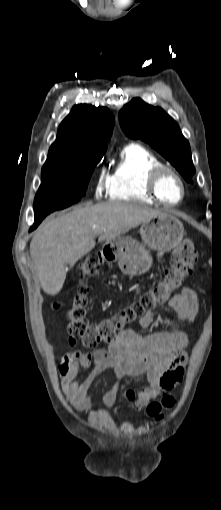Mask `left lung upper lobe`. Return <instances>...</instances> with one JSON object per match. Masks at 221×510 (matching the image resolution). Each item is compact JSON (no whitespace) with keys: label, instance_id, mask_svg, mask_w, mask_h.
Here are the masks:
<instances>
[{"label":"left lung upper lobe","instance_id":"left-lung-upper-lobe-1","mask_svg":"<svg viewBox=\"0 0 221 510\" xmlns=\"http://www.w3.org/2000/svg\"><path fill=\"white\" fill-rule=\"evenodd\" d=\"M119 121L129 138H139L149 143L181 173L185 180L192 181L195 168L190 145L178 124L163 109L135 98L120 110Z\"/></svg>","mask_w":221,"mask_h":510}]
</instances>
